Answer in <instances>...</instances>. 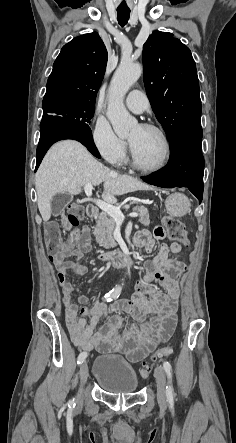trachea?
Segmentation results:
<instances>
[{
	"label": "trachea",
	"mask_w": 236,
	"mask_h": 443,
	"mask_svg": "<svg viewBox=\"0 0 236 443\" xmlns=\"http://www.w3.org/2000/svg\"><path fill=\"white\" fill-rule=\"evenodd\" d=\"M130 17L129 9H117V20L118 23L123 27L127 24Z\"/></svg>",
	"instance_id": "3493384b"
}]
</instances>
